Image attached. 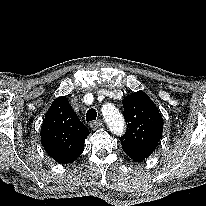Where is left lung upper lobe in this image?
Masks as SVG:
<instances>
[{
    "label": "left lung upper lobe",
    "mask_w": 206,
    "mask_h": 206,
    "mask_svg": "<svg viewBox=\"0 0 206 206\" xmlns=\"http://www.w3.org/2000/svg\"><path fill=\"white\" fill-rule=\"evenodd\" d=\"M122 104L127 122L125 135L119 137L123 150L151 155L163 131V118L158 108L143 91L127 95Z\"/></svg>",
    "instance_id": "1"
}]
</instances>
